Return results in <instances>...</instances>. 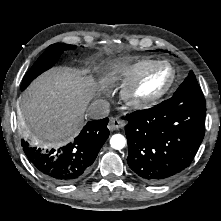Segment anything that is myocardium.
Here are the masks:
<instances>
[{
	"instance_id": "1",
	"label": "myocardium",
	"mask_w": 221,
	"mask_h": 221,
	"mask_svg": "<svg viewBox=\"0 0 221 221\" xmlns=\"http://www.w3.org/2000/svg\"><path fill=\"white\" fill-rule=\"evenodd\" d=\"M158 70L167 72L164 84L149 93H141L140 90L147 79ZM175 80L176 71L173 66L167 62L155 61L125 86L122 95L126 103L132 108L145 109L158 103L173 87Z\"/></svg>"
}]
</instances>
